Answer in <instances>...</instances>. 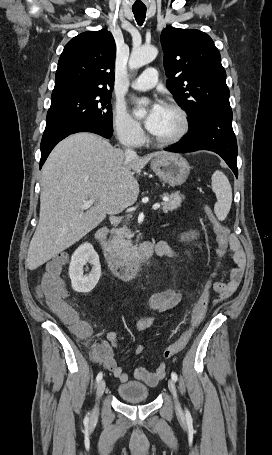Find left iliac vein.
<instances>
[{
	"label": "left iliac vein",
	"instance_id": "left-iliac-vein-1",
	"mask_svg": "<svg viewBox=\"0 0 272 455\" xmlns=\"http://www.w3.org/2000/svg\"><path fill=\"white\" fill-rule=\"evenodd\" d=\"M168 388H169L170 392L172 393V395L174 397L176 409L178 411H180L181 407H180V403H179L178 398H177L176 386H175V383H174L173 379H169L168 380Z\"/></svg>",
	"mask_w": 272,
	"mask_h": 455
}]
</instances>
